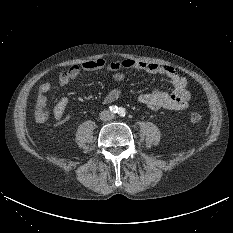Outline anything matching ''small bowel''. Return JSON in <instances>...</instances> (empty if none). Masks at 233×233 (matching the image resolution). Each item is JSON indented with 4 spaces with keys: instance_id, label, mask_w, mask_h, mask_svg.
<instances>
[{
    "instance_id": "1",
    "label": "small bowel",
    "mask_w": 233,
    "mask_h": 233,
    "mask_svg": "<svg viewBox=\"0 0 233 233\" xmlns=\"http://www.w3.org/2000/svg\"><path fill=\"white\" fill-rule=\"evenodd\" d=\"M106 69L112 73V79L116 82L123 81L130 71H144L151 74H160L169 79L172 84L171 91H163L155 88L150 93H144L139 96V101L152 110H182L188 107L190 101V92L187 89L188 80L180 75L176 70L168 65L134 61L132 59H123L116 61H107L104 58L88 60L79 65H74L67 71L62 72L58 77V84L62 87L67 86L72 80L76 79L83 71H97ZM52 88V83L45 82L38 88V96L35 104L34 116L37 121L45 122L47 120V94ZM122 95L119 87L113 88L102 98V103L109 104L118 100ZM68 99L62 97L53 108V116L56 122L63 118ZM43 110L45 116L38 119V113Z\"/></svg>"
}]
</instances>
